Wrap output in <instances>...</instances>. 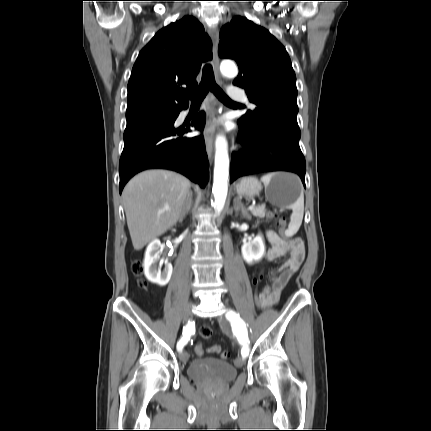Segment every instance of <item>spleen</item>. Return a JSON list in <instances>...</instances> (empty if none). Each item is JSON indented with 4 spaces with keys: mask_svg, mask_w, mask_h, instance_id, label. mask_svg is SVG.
I'll return each mask as SVG.
<instances>
[{
    "mask_svg": "<svg viewBox=\"0 0 431 431\" xmlns=\"http://www.w3.org/2000/svg\"><path fill=\"white\" fill-rule=\"evenodd\" d=\"M274 173L264 175L261 180L266 185L270 182ZM292 214L290 216V223L286 234L288 236L294 235L300 228L304 215V195L301 193L299 199L291 206Z\"/></svg>",
    "mask_w": 431,
    "mask_h": 431,
    "instance_id": "3e777b00",
    "label": "spleen"
}]
</instances>
